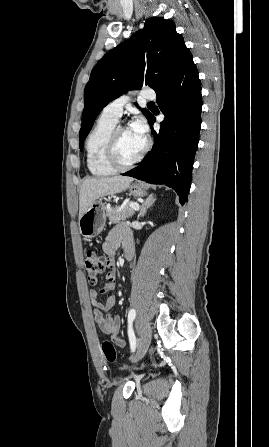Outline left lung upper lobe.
<instances>
[{"label": "left lung upper lobe", "mask_w": 269, "mask_h": 447, "mask_svg": "<svg viewBox=\"0 0 269 447\" xmlns=\"http://www.w3.org/2000/svg\"><path fill=\"white\" fill-rule=\"evenodd\" d=\"M183 37L171 20L148 19L144 28L106 53L93 68L86 85L79 132L80 149L100 111L112 100L143 86L158 92L170 79L184 51ZM148 119L150 112L143 109Z\"/></svg>", "instance_id": "left-lung-upper-lobe-1"}]
</instances>
